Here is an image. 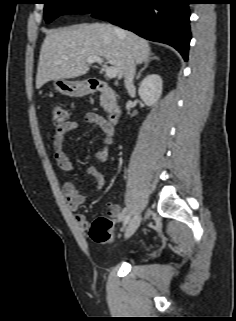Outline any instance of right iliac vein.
Returning a JSON list of instances; mask_svg holds the SVG:
<instances>
[{"instance_id": "right-iliac-vein-1", "label": "right iliac vein", "mask_w": 236, "mask_h": 321, "mask_svg": "<svg viewBox=\"0 0 236 321\" xmlns=\"http://www.w3.org/2000/svg\"><path fill=\"white\" fill-rule=\"evenodd\" d=\"M140 222H141V216L139 213H137L133 216V218L129 221V223L125 228V234H124L125 238H130L135 233V231L140 225Z\"/></svg>"}]
</instances>
